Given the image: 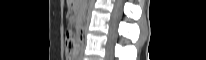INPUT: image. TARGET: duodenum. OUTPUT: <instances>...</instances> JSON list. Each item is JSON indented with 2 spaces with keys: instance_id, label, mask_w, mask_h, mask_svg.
<instances>
[{
  "instance_id": "1",
  "label": "duodenum",
  "mask_w": 206,
  "mask_h": 60,
  "mask_svg": "<svg viewBox=\"0 0 206 60\" xmlns=\"http://www.w3.org/2000/svg\"><path fill=\"white\" fill-rule=\"evenodd\" d=\"M77 37H79V40H81L82 37H84V32L81 25L78 26Z\"/></svg>"
}]
</instances>
